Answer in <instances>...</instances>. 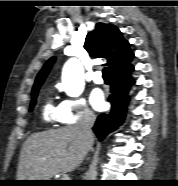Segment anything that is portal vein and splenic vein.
Here are the masks:
<instances>
[{
	"instance_id": "1",
	"label": "portal vein and splenic vein",
	"mask_w": 178,
	"mask_h": 186,
	"mask_svg": "<svg viewBox=\"0 0 178 186\" xmlns=\"http://www.w3.org/2000/svg\"><path fill=\"white\" fill-rule=\"evenodd\" d=\"M63 180H69V175L68 174H64L63 175Z\"/></svg>"
}]
</instances>
